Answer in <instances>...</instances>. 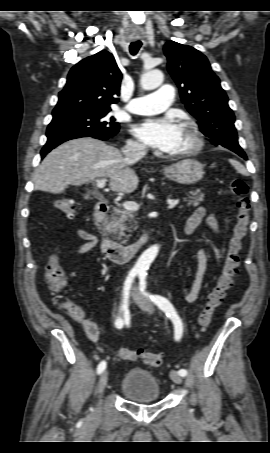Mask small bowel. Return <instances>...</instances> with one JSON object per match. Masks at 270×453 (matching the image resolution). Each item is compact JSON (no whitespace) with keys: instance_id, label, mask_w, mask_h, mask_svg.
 <instances>
[{"instance_id":"c3829d8e","label":"small bowel","mask_w":270,"mask_h":453,"mask_svg":"<svg viewBox=\"0 0 270 453\" xmlns=\"http://www.w3.org/2000/svg\"><path fill=\"white\" fill-rule=\"evenodd\" d=\"M206 222V224L213 230H217V220L214 215L212 214H207L204 208H198L192 215L191 217L187 220L186 223V233L188 235L192 234L195 228L201 223V222ZM77 236L81 240L84 241L83 244L77 247L75 250V255H83L88 252H90L96 245H97V238L94 234L84 230V229H78L77 230ZM197 259V266L195 269L193 281L191 284V287L186 294V300L189 303L195 302L200 294L204 279L207 275L208 272V264H207V255L204 249H200L197 253L196 256ZM82 315L81 317L74 318L76 321H78L85 329V332L89 339L94 342L98 343L99 342V327L96 322L92 321L89 319L84 310L79 307ZM115 355L122 360H128V361H136L139 357L138 352L133 349H128V348H119L115 351Z\"/></svg>"}]
</instances>
